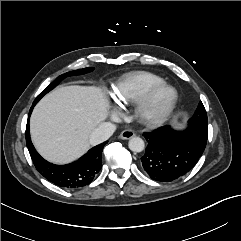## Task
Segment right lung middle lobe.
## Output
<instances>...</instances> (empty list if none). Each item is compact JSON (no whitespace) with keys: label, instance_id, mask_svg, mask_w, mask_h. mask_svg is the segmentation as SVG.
<instances>
[{"label":"right lung middle lobe","instance_id":"obj_1","mask_svg":"<svg viewBox=\"0 0 241 241\" xmlns=\"http://www.w3.org/2000/svg\"><path fill=\"white\" fill-rule=\"evenodd\" d=\"M94 68L92 67H88V68H83V69H79V70H75V71H71L68 73H65L59 77H57L49 86H47L39 95L38 97L35 99V101L33 102V104H36L46 93H48L50 90H52L54 87H56L59 82L61 80H63L64 78L68 77V76H75V75H82V74H86L89 73L91 71H93Z\"/></svg>","mask_w":241,"mask_h":241}]
</instances>
